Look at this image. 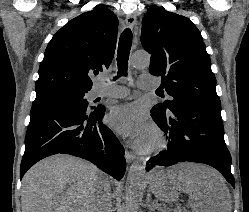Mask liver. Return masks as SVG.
Masks as SVG:
<instances>
[{
	"mask_svg": "<svg viewBox=\"0 0 249 212\" xmlns=\"http://www.w3.org/2000/svg\"><path fill=\"white\" fill-rule=\"evenodd\" d=\"M99 176L94 164L80 158H45L23 176L22 212H92ZM148 180L150 192L167 204L184 192L193 212H231L230 192L214 168L183 162L166 172L152 170Z\"/></svg>",
	"mask_w": 249,
	"mask_h": 212,
	"instance_id": "obj_1",
	"label": "liver"
}]
</instances>
